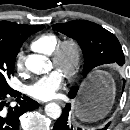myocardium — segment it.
I'll return each mask as SVG.
<instances>
[{
    "label": "myocardium",
    "instance_id": "1",
    "mask_svg": "<svg viewBox=\"0 0 130 130\" xmlns=\"http://www.w3.org/2000/svg\"><path fill=\"white\" fill-rule=\"evenodd\" d=\"M53 65L66 77L75 76L82 64L83 49L75 38L60 41L51 54Z\"/></svg>",
    "mask_w": 130,
    "mask_h": 130
}]
</instances>
